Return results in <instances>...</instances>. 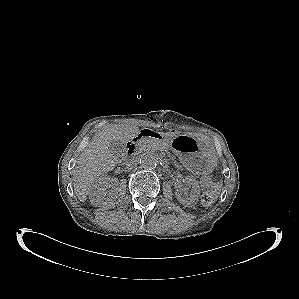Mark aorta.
Instances as JSON below:
<instances>
[{
	"label": "aorta",
	"instance_id": "1",
	"mask_svg": "<svg viewBox=\"0 0 299 299\" xmlns=\"http://www.w3.org/2000/svg\"><path fill=\"white\" fill-rule=\"evenodd\" d=\"M141 165L147 169H153L158 166L160 160L157 154L153 152L144 153L140 159Z\"/></svg>",
	"mask_w": 299,
	"mask_h": 299
}]
</instances>
